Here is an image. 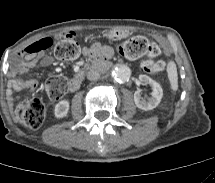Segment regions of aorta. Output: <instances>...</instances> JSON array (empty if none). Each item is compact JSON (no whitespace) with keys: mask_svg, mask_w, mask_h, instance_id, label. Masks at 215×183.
Wrapping results in <instances>:
<instances>
[{"mask_svg":"<svg viewBox=\"0 0 215 183\" xmlns=\"http://www.w3.org/2000/svg\"><path fill=\"white\" fill-rule=\"evenodd\" d=\"M112 77L118 81L125 82L131 76V70L127 65L117 64L111 71Z\"/></svg>","mask_w":215,"mask_h":183,"instance_id":"aorta-1","label":"aorta"}]
</instances>
